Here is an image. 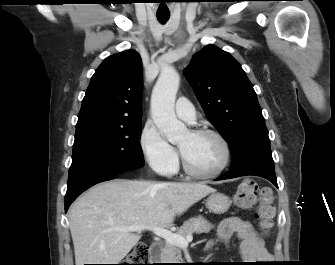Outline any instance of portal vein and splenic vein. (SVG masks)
Segmentation results:
<instances>
[{
    "instance_id": "portal-vein-and-splenic-vein-1",
    "label": "portal vein and splenic vein",
    "mask_w": 335,
    "mask_h": 265,
    "mask_svg": "<svg viewBox=\"0 0 335 265\" xmlns=\"http://www.w3.org/2000/svg\"><path fill=\"white\" fill-rule=\"evenodd\" d=\"M117 230L120 231H140L142 229H148L151 230L155 235L164 238L166 242H169L173 245H177L180 247H186L188 244L193 240L192 234L187 235L186 237H183L177 233H173L170 230H167L162 227L154 226V227H146V226H139V225H133V226H128V227H120L116 228Z\"/></svg>"
}]
</instances>
